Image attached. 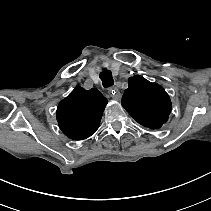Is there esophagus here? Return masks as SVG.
<instances>
[{
    "mask_svg": "<svg viewBox=\"0 0 211 211\" xmlns=\"http://www.w3.org/2000/svg\"><path fill=\"white\" fill-rule=\"evenodd\" d=\"M108 92L110 96L114 98L115 100H120L122 97L120 91L117 88L109 89Z\"/></svg>",
    "mask_w": 211,
    "mask_h": 211,
    "instance_id": "1",
    "label": "esophagus"
}]
</instances>
